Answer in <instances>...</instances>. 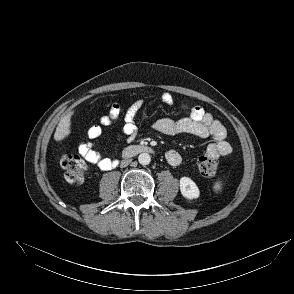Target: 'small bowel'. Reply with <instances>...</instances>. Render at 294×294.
<instances>
[{
	"label": "small bowel",
	"mask_w": 294,
	"mask_h": 294,
	"mask_svg": "<svg viewBox=\"0 0 294 294\" xmlns=\"http://www.w3.org/2000/svg\"><path fill=\"white\" fill-rule=\"evenodd\" d=\"M160 100L165 105H173L175 100L168 92L160 94ZM145 105L144 99H139L134 102L124 115V123L122 132L128 137V140H133L137 135V126L135 118L139 110ZM180 109L187 113V116L172 120L169 118L157 119L152 128L165 135L191 134L198 137H210L212 143L206 148L205 154L216 159L228 156L232 149L226 141L227 132L225 127L212 114L204 111L203 108L191 105L189 103H181ZM120 108L114 103L107 115L102 116L98 123L92 124L87 132L88 139L81 142L78 150L79 153L90 163L97 165L102 170H111L118 164L117 159L103 157L94 147L93 141L102 133V126L108 127L118 120ZM166 161L171 166H178L182 162V156L176 150H169L165 154Z\"/></svg>",
	"instance_id": "c3829d8e"
}]
</instances>
